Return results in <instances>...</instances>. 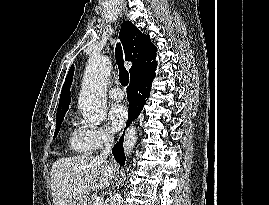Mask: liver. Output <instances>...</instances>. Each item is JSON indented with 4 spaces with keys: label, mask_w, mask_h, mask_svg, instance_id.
<instances>
[{
    "label": "liver",
    "mask_w": 269,
    "mask_h": 205,
    "mask_svg": "<svg viewBox=\"0 0 269 205\" xmlns=\"http://www.w3.org/2000/svg\"><path fill=\"white\" fill-rule=\"evenodd\" d=\"M116 167L95 156H73L56 160L51 169L54 205H74L91 190L108 187Z\"/></svg>",
    "instance_id": "obj_1"
}]
</instances>
